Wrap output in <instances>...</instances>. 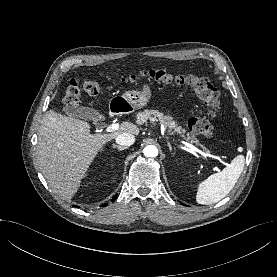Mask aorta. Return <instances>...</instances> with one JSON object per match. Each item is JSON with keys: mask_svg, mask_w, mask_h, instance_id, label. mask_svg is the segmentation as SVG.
Returning <instances> with one entry per match:
<instances>
[{"mask_svg": "<svg viewBox=\"0 0 277 277\" xmlns=\"http://www.w3.org/2000/svg\"><path fill=\"white\" fill-rule=\"evenodd\" d=\"M143 153L146 157H156L158 155V149L153 145H148L143 149Z\"/></svg>", "mask_w": 277, "mask_h": 277, "instance_id": "obj_1", "label": "aorta"}]
</instances>
